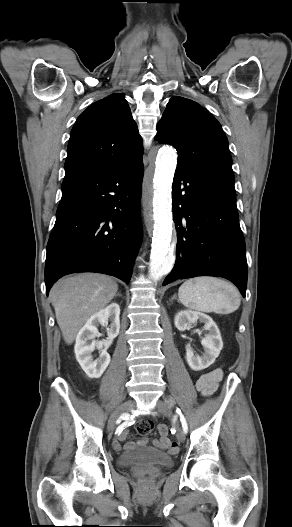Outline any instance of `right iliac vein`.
Instances as JSON below:
<instances>
[{"label": "right iliac vein", "instance_id": "right-iliac-vein-1", "mask_svg": "<svg viewBox=\"0 0 292 527\" xmlns=\"http://www.w3.org/2000/svg\"><path fill=\"white\" fill-rule=\"evenodd\" d=\"M134 408V402L133 401H127L125 403H123L122 405H120L114 412L113 414L111 415L109 421H108V431L111 432L113 431L114 427H115V424L118 420V418L128 412L129 410L133 409Z\"/></svg>", "mask_w": 292, "mask_h": 527}]
</instances>
